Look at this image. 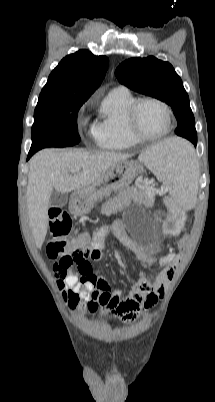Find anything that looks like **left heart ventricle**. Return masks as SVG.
Instances as JSON below:
<instances>
[{"mask_svg":"<svg viewBox=\"0 0 215 402\" xmlns=\"http://www.w3.org/2000/svg\"><path fill=\"white\" fill-rule=\"evenodd\" d=\"M138 123L142 132L158 135L167 129L168 119L165 111L155 103H145L138 114Z\"/></svg>","mask_w":215,"mask_h":402,"instance_id":"obj_1","label":"left heart ventricle"}]
</instances>
